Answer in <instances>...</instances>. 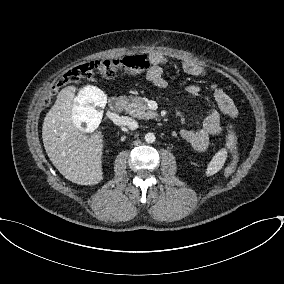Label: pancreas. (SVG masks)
Instances as JSON below:
<instances>
[{
	"label": "pancreas",
	"mask_w": 284,
	"mask_h": 284,
	"mask_svg": "<svg viewBox=\"0 0 284 284\" xmlns=\"http://www.w3.org/2000/svg\"><path fill=\"white\" fill-rule=\"evenodd\" d=\"M120 100L123 104L124 109L134 117L148 120L157 116L154 111H151L148 108L146 102L140 97L121 96Z\"/></svg>",
	"instance_id": "cf45deb5"
}]
</instances>
